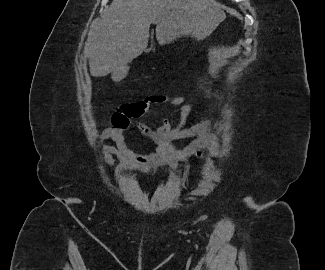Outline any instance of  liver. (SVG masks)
<instances>
[{
    "label": "liver",
    "instance_id": "obj_1",
    "mask_svg": "<svg viewBox=\"0 0 325 270\" xmlns=\"http://www.w3.org/2000/svg\"><path fill=\"white\" fill-rule=\"evenodd\" d=\"M226 18L210 0H113L88 35L85 53L94 77L111 73L119 82L127 66L147 48L149 27L156 24L160 45L181 36L203 40Z\"/></svg>",
    "mask_w": 325,
    "mask_h": 270
}]
</instances>
